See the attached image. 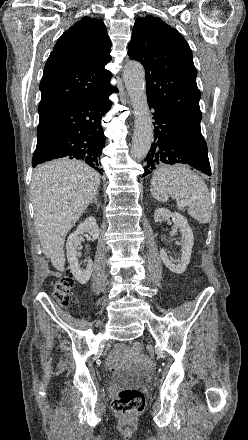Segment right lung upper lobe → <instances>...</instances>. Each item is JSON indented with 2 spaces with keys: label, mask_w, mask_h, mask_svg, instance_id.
<instances>
[{
  "label": "right lung upper lobe",
  "mask_w": 248,
  "mask_h": 440,
  "mask_svg": "<svg viewBox=\"0 0 248 440\" xmlns=\"http://www.w3.org/2000/svg\"><path fill=\"white\" fill-rule=\"evenodd\" d=\"M111 41L104 23L84 17L65 31L46 62L40 83L39 115L77 98L106 91L111 73Z\"/></svg>",
  "instance_id": "right-lung-upper-lobe-1"
}]
</instances>
